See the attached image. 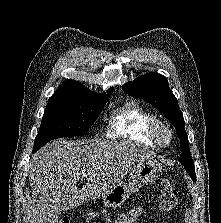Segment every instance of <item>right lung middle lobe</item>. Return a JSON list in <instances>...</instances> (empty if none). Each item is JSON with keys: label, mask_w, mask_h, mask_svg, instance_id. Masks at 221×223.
Masks as SVG:
<instances>
[{"label": "right lung middle lobe", "mask_w": 221, "mask_h": 223, "mask_svg": "<svg viewBox=\"0 0 221 223\" xmlns=\"http://www.w3.org/2000/svg\"><path fill=\"white\" fill-rule=\"evenodd\" d=\"M108 99L48 103L33 152L56 138L85 135Z\"/></svg>", "instance_id": "obj_1"}]
</instances>
